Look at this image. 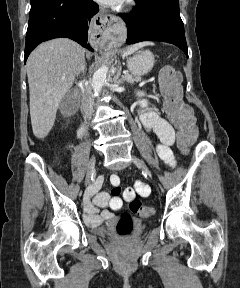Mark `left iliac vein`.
Wrapping results in <instances>:
<instances>
[{
    "label": "left iliac vein",
    "mask_w": 240,
    "mask_h": 288,
    "mask_svg": "<svg viewBox=\"0 0 240 288\" xmlns=\"http://www.w3.org/2000/svg\"><path fill=\"white\" fill-rule=\"evenodd\" d=\"M132 161L137 167L141 168L144 173H146L149 177H152L151 171L148 169V167L142 160H140L136 156H133Z\"/></svg>",
    "instance_id": "1"
}]
</instances>
